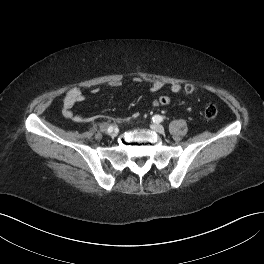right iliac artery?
I'll use <instances>...</instances> for the list:
<instances>
[{
  "instance_id": "82829eb1",
  "label": "right iliac artery",
  "mask_w": 264,
  "mask_h": 264,
  "mask_svg": "<svg viewBox=\"0 0 264 264\" xmlns=\"http://www.w3.org/2000/svg\"><path fill=\"white\" fill-rule=\"evenodd\" d=\"M112 131H113V127H112V126H109V127L107 128V132L110 133V132H112Z\"/></svg>"
}]
</instances>
